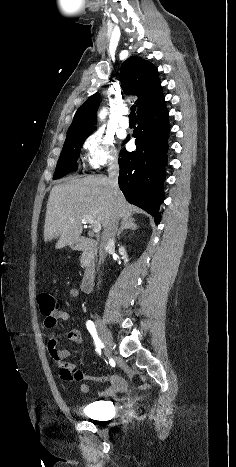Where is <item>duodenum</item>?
<instances>
[{
    "label": "duodenum",
    "mask_w": 236,
    "mask_h": 467,
    "mask_svg": "<svg viewBox=\"0 0 236 467\" xmlns=\"http://www.w3.org/2000/svg\"><path fill=\"white\" fill-rule=\"evenodd\" d=\"M72 247L77 251H87L90 255L97 248V242L79 237L72 242ZM95 279V269L91 264H87L85 272L81 278V290L84 293H90L92 291Z\"/></svg>",
    "instance_id": "duodenum-1"
}]
</instances>
